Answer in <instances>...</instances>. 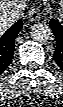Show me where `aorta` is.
<instances>
[{
	"mask_svg": "<svg viewBox=\"0 0 63 107\" xmlns=\"http://www.w3.org/2000/svg\"><path fill=\"white\" fill-rule=\"evenodd\" d=\"M31 37L38 41H47L51 35V29L43 23H36L31 27Z\"/></svg>",
	"mask_w": 63,
	"mask_h": 107,
	"instance_id": "762f6f07",
	"label": "aorta"
}]
</instances>
